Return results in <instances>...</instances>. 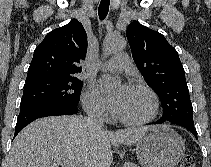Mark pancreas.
<instances>
[{"mask_svg": "<svg viewBox=\"0 0 211 167\" xmlns=\"http://www.w3.org/2000/svg\"><path fill=\"white\" fill-rule=\"evenodd\" d=\"M123 167H139L137 164L132 162H126Z\"/></svg>", "mask_w": 211, "mask_h": 167, "instance_id": "pancreas-1", "label": "pancreas"}]
</instances>
